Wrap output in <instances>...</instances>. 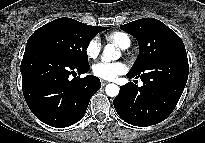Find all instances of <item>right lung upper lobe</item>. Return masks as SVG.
I'll use <instances>...</instances> for the list:
<instances>
[{"instance_id":"1","label":"right lung upper lobe","mask_w":205,"mask_h":143,"mask_svg":"<svg viewBox=\"0 0 205 143\" xmlns=\"http://www.w3.org/2000/svg\"><path fill=\"white\" fill-rule=\"evenodd\" d=\"M96 29H99V30H102L103 31V28L104 27H96V26H94Z\"/></svg>"}]
</instances>
